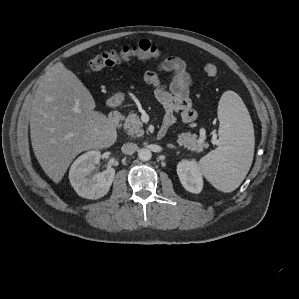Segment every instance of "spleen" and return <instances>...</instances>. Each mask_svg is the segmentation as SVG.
Returning a JSON list of instances; mask_svg holds the SVG:
<instances>
[{"instance_id": "obj_1", "label": "spleen", "mask_w": 299, "mask_h": 299, "mask_svg": "<svg viewBox=\"0 0 299 299\" xmlns=\"http://www.w3.org/2000/svg\"><path fill=\"white\" fill-rule=\"evenodd\" d=\"M219 144L199 162L201 173L222 192L236 190L246 177L254 155V129L242 99L226 91L218 105Z\"/></svg>"}]
</instances>
